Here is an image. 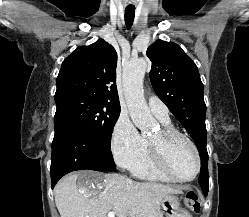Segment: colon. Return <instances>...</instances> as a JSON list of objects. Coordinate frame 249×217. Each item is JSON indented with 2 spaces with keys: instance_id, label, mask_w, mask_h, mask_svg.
<instances>
[{
  "instance_id": "obj_1",
  "label": "colon",
  "mask_w": 249,
  "mask_h": 217,
  "mask_svg": "<svg viewBox=\"0 0 249 217\" xmlns=\"http://www.w3.org/2000/svg\"><path fill=\"white\" fill-rule=\"evenodd\" d=\"M185 204L193 212L200 211V198L198 192L190 190L185 195Z\"/></svg>"
}]
</instances>
